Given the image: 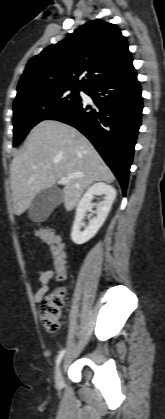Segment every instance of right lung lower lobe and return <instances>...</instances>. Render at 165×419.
I'll use <instances>...</instances> for the list:
<instances>
[{
	"label": "right lung lower lobe",
	"mask_w": 165,
	"mask_h": 419,
	"mask_svg": "<svg viewBox=\"0 0 165 419\" xmlns=\"http://www.w3.org/2000/svg\"><path fill=\"white\" fill-rule=\"evenodd\" d=\"M95 108L82 100L47 119L77 128L95 146L125 193L142 116L141 88L131 64L85 91Z\"/></svg>",
	"instance_id": "right-lung-lower-lobe-1"
}]
</instances>
